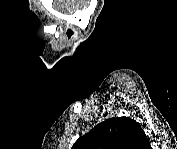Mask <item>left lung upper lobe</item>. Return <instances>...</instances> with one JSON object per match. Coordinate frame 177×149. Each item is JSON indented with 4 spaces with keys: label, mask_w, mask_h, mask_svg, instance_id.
I'll use <instances>...</instances> for the list:
<instances>
[{
    "label": "left lung upper lobe",
    "mask_w": 177,
    "mask_h": 149,
    "mask_svg": "<svg viewBox=\"0 0 177 149\" xmlns=\"http://www.w3.org/2000/svg\"><path fill=\"white\" fill-rule=\"evenodd\" d=\"M140 124L127 117L109 118L80 137L72 149H147Z\"/></svg>",
    "instance_id": "1"
}]
</instances>
